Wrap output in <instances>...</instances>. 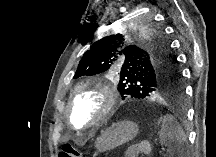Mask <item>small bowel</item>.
<instances>
[{"label": "small bowel", "instance_id": "1", "mask_svg": "<svg viewBox=\"0 0 216 157\" xmlns=\"http://www.w3.org/2000/svg\"><path fill=\"white\" fill-rule=\"evenodd\" d=\"M142 154V152L141 151H139L137 154H131V153H127V157H134V156H138V155H141Z\"/></svg>", "mask_w": 216, "mask_h": 157}]
</instances>
